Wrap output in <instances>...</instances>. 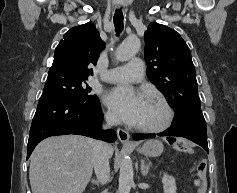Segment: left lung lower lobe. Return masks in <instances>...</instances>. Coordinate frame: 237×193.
<instances>
[{
  "label": "left lung lower lobe",
  "mask_w": 237,
  "mask_h": 193,
  "mask_svg": "<svg viewBox=\"0 0 237 193\" xmlns=\"http://www.w3.org/2000/svg\"><path fill=\"white\" fill-rule=\"evenodd\" d=\"M159 136H178L187 138L203 147L208 152L206 126L200 124L172 125L166 131L158 134ZM156 134H133L135 140H142L155 137ZM169 140V138H167Z\"/></svg>",
  "instance_id": "0a47b994"
}]
</instances>
